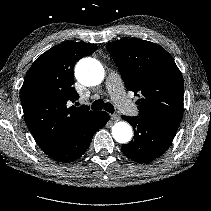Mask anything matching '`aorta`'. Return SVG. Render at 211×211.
I'll list each match as a JSON object with an SVG mask.
<instances>
[{
    "mask_svg": "<svg viewBox=\"0 0 211 211\" xmlns=\"http://www.w3.org/2000/svg\"><path fill=\"white\" fill-rule=\"evenodd\" d=\"M104 68L93 58L80 60L75 67L77 80L85 86H95L104 79ZM112 136L119 143H128L132 138V128L126 122H117L112 127Z\"/></svg>",
    "mask_w": 211,
    "mask_h": 211,
    "instance_id": "1",
    "label": "aorta"
}]
</instances>
